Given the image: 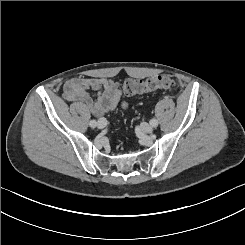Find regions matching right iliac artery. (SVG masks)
<instances>
[{
    "mask_svg": "<svg viewBox=\"0 0 245 245\" xmlns=\"http://www.w3.org/2000/svg\"><path fill=\"white\" fill-rule=\"evenodd\" d=\"M90 126L93 127V128L96 127L97 126V122L95 120H91L90 121Z\"/></svg>",
    "mask_w": 245,
    "mask_h": 245,
    "instance_id": "82829eb1",
    "label": "right iliac artery"
}]
</instances>
